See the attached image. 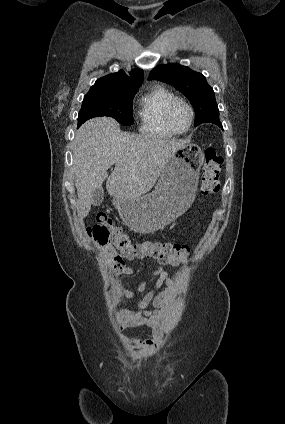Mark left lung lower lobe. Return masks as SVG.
I'll return each mask as SVG.
<instances>
[{
    "label": "left lung lower lobe",
    "instance_id": "0a47b994",
    "mask_svg": "<svg viewBox=\"0 0 285 424\" xmlns=\"http://www.w3.org/2000/svg\"><path fill=\"white\" fill-rule=\"evenodd\" d=\"M216 123H217V125H218L219 127H221V128H222V124H221L220 120H219V121H217Z\"/></svg>",
    "mask_w": 285,
    "mask_h": 424
}]
</instances>
